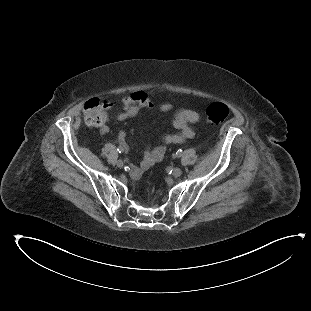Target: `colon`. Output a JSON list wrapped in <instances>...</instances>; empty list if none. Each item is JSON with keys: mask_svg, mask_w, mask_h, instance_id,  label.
Instances as JSON below:
<instances>
[{"mask_svg": "<svg viewBox=\"0 0 311 311\" xmlns=\"http://www.w3.org/2000/svg\"><path fill=\"white\" fill-rule=\"evenodd\" d=\"M107 101L90 100L84 107V119L90 125L104 126L107 122ZM230 114V109L221 103H214L206 110V122L217 125Z\"/></svg>", "mask_w": 311, "mask_h": 311, "instance_id": "5ec220e1", "label": "colon"}]
</instances>
